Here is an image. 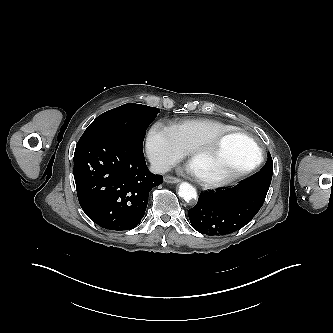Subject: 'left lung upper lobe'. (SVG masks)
<instances>
[{
  "label": "left lung upper lobe",
  "mask_w": 333,
  "mask_h": 333,
  "mask_svg": "<svg viewBox=\"0 0 333 333\" xmlns=\"http://www.w3.org/2000/svg\"><path fill=\"white\" fill-rule=\"evenodd\" d=\"M259 172H273V161L270 153H268V159L264 167Z\"/></svg>",
  "instance_id": "5c2ea615"
}]
</instances>
